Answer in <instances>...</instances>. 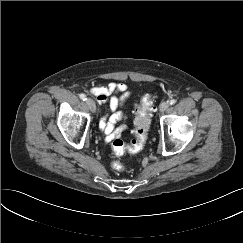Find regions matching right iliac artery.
Instances as JSON below:
<instances>
[{
	"mask_svg": "<svg viewBox=\"0 0 243 243\" xmlns=\"http://www.w3.org/2000/svg\"><path fill=\"white\" fill-rule=\"evenodd\" d=\"M80 99H82L83 101L86 100V95L85 94H80Z\"/></svg>",
	"mask_w": 243,
	"mask_h": 243,
	"instance_id": "obj_1",
	"label": "right iliac artery"
}]
</instances>
